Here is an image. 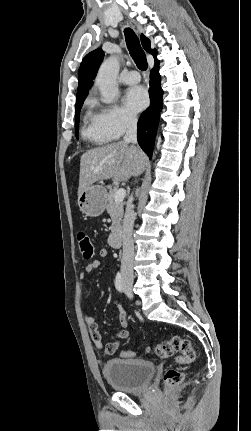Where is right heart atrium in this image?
Returning <instances> with one entry per match:
<instances>
[{
  "mask_svg": "<svg viewBox=\"0 0 251 431\" xmlns=\"http://www.w3.org/2000/svg\"><path fill=\"white\" fill-rule=\"evenodd\" d=\"M97 115L100 127L111 139L121 137L137 124L136 114L117 104L100 106Z\"/></svg>",
  "mask_w": 251,
  "mask_h": 431,
  "instance_id": "1",
  "label": "right heart atrium"
}]
</instances>
